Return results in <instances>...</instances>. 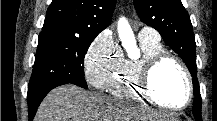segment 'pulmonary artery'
<instances>
[{
  "label": "pulmonary artery",
  "mask_w": 217,
  "mask_h": 121,
  "mask_svg": "<svg viewBox=\"0 0 217 121\" xmlns=\"http://www.w3.org/2000/svg\"><path fill=\"white\" fill-rule=\"evenodd\" d=\"M139 40L160 42V36L156 30L151 27L144 26L138 32Z\"/></svg>",
  "instance_id": "e3ab8cb5"
}]
</instances>
